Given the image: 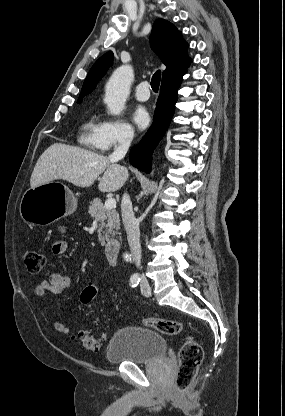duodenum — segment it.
Segmentation results:
<instances>
[{
    "instance_id": "1",
    "label": "duodenum",
    "mask_w": 285,
    "mask_h": 416,
    "mask_svg": "<svg viewBox=\"0 0 285 416\" xmlns=\"http://www.w3.org/2000/svg\"><path fill=\"white\" fill-rule=\"evenodd\" d=\"M120 243L117 240H111L104 246V255L112 266H116L120 254Z\"/></svg>"
}]
</instances>
